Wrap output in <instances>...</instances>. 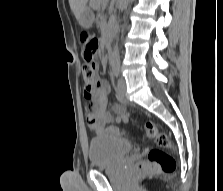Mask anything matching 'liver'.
I'll return each mask as SVG.
<instances>
[{
	"mask_svg": "<svg viewBox=\"0 0 223 191\" xmlns=\"http://www.w3.org/2000/svg\"><path fill=\"white\" fill-rule=\"evenodd\" d=\"M88 0H69L70 8L73 11L76 19L79 21L83 10L87 6Z\"/></svg>",
	"mask_w": 223,
	"mask_h": 191,
	"instance_id": "obj_1",
	"label": "liver"
}]
</instances>
